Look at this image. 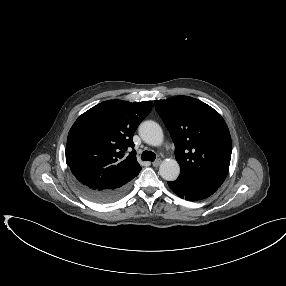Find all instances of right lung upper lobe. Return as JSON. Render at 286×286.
Listing matches in <instances>:
<instances>
[{
  "mask_svg": "<svg viewBox=\"0 0 286 286\" xmlns=\"http://www.w3.org/2000/svg\"><path fill=\"white\" fill-rule=\"evenodd\" d=\"M152 101L108 100L82 114L69 131L66 163L77 180L91 186L124 184L141 170L133 134L151 112Z\"/></svg>",
  "mask_w": 286,
  "mask_h": 286,
  "instance_id": "right-lung-upper-lobe-1",
  "label": "right lung upper lobe"
}]
</instances>
